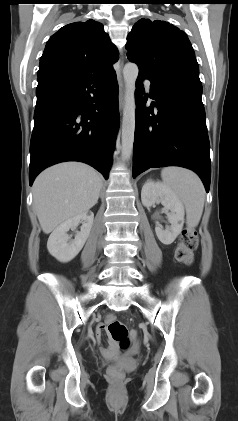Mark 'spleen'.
Wrapping results in <instances>:
<instances>
[{"mask_svg":"<svg viewBox=\"0 0 238 421\" xmlns=\"http://www.w3.org/2000/svg\"><path fill=\"white\" fill-rule=\"evenodd\" d=\"M161 178L164 185L184 204L188 227H196L205 201V190L200 178L191 170L174 166L163 168Z\"/></svg>","mask_w":238,"mask_h":421,"instance_id":"3e777b00","label":"spleen"}]
</instances>
